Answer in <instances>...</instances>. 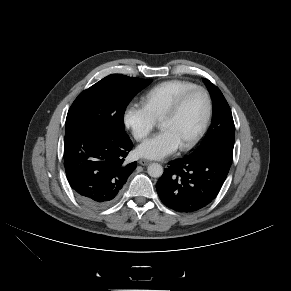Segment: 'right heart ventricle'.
Here are the masks:
<instances>
[{
	"instance_id": "1",
	"label": "right heart ventricle",
	"mask_w": 291,
	"mask_h": 291,
	"mask_svg": "<svg viewBox=\"0 0 291 291\" xmlns=\"http://www.w3.org/2000/svg\"><path fill=\"white\" fill-rule=\"evenodd\" d=\"M196 86L186 80H167L156 84L142 96V105L155 121L161 119L164 112L184 91Z\"/></svg>"
}]
</instances>
